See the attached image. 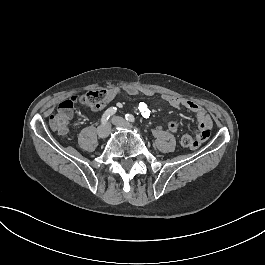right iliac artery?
<instances>
[{
    "label": "right iliac artery",
    "instance_id": "obj_1",
    "mask_svg": "<svg viewBox=\"0 0 265 265\" xmlns=\"http://www.w3.org/2000/svg\"><path fill=\"white\" fill-rule=\"evenodd\" d=\"M117 108L116 107H110L108 108L101 117V124L105 125L108 121V119L116 113Z\"/></svg>",
    "mask_w": 265,
    "mask_h": 265
}]
</instances>
